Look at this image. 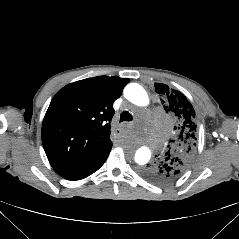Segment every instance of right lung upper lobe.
Masks as SVG:
<instances>
[{"label": "right lung upper lobe", "mask_w": 239, "mask_h": 239, "mask_svg": "<svg viewBox=\"0 0 239 239\" xmlns=\"http://www.w3.org/2000/svg\"><path fill=\"white\" fill-rule=\"evenodd\" d=\"M128 78L98 76L63 87L42 124V143L53 169L62 176L111 144L113 102Z\"/></svg>", "instance_id": "cb5924a9"}]
</instances>
